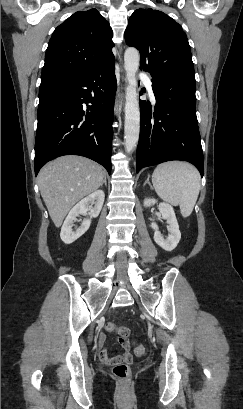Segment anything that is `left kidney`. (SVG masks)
Wrapping results in <instances>:
<instances>
[{"instance_id":"left-kidney-1","label":"left kidney","mask_w":243,"mask_h":409,"mask_svg":"<svg viewBox=\"0 0 243 409\" xmlns=\"http://www.w3.org/2000/svg\"><path fill=\"white\" fill-rule=\"evenodd\" d=\"M156 203L155 199L146 198L144 200V206L149 207ZM159 211L163 219L167 220V228L170 232L168 238L164 239L158 230V226L155 222L151 223V228L154 230V241L164 250L172 251L176 248L177 244L181 239V233L179 230V225L175 216L174 209L168 203L162 202L159 204Z\"/></svg>"}]
</instances>
